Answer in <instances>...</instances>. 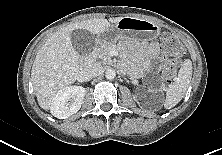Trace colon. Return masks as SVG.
<instances>
[{"mask_svg":"<svg viewBox=\"0 0 222 155\" xmlns=\"http://www.w3.org/2000/svg\"><path fill=\"white\" fill-rule=\"evenodd\" d=\"M181 46L178 39L171 34L162 37V51L165 58L164 74L168 83L173 81L176 74L174 59L178 56Z\"/></svg>","mask_w":222,"mask_h":155,"instance_id":"colon-1","label":"colon"}]
</instances>
